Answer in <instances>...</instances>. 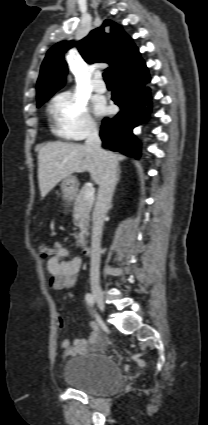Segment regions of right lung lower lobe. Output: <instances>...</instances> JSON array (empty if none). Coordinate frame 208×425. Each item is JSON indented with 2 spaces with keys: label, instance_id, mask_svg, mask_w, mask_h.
<instances>
[{
  "label": "right lung lower lobe",
  "instance_id": "1",
  "mask_svg": "<svg viewBox=\"0 0 208 425\" xmlns=\"http://www.w3.org/2000/svg\"><path fill=\"white\" fill-rule=\"evenodd\" d=\"M112 79V100L120 107V112L111 120H103L100 131L102 146L130 157H140L139 143L132 129L146 120V114L150 113V109L144 107L147 99L151 98L144 90V85L150 81L145 62L140 59L132 68ZM147 105L150 107L151 103Z\"/></svg>",
  "mask_w": 208,
  "mask_h": 425
}]
</instances>
